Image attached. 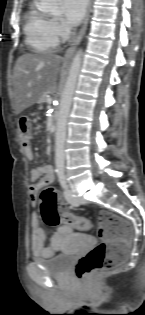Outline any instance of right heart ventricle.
<instances>
[{
    "label": "right heart ventricle",
    "instance_id": "obj_1",
    "mask_svg": "<svg viewBox=\"0 0 145 315\" xmlns=\"http://www.w3.org/2000/svg\"><path fill=\"white\" fill-rule=\"evenodd\" d=\"M25 42L35 53L44 54L52 51L58 45V37L54 33L49 17L40 12L32 4L25 16Z\"/></svg>",
    "mask_w": 145,
    "mask_h": 315
}]
</instances>
